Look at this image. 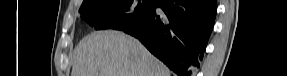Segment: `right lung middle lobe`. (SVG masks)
<instances>
[{
    "mask_svg": "<svg viewBox=\"0 0 287 76\" xmlns=\"http://www.w3.org/2000/svg\"><path fill=\"white\" fill-rule=\"evenodd\" d=\"M155 0H88L79 12L96 30H123L145 19Z\"/></svg>",
    "mask_w": 287,
    "mask_h": 76,
    "instance_id": "obj_1",
    "label": "right lung middle lobe"
}]
</instances>
